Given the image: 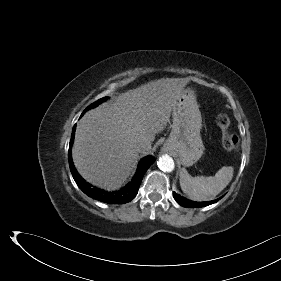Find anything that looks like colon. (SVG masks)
<instances>
[{
	"instance_id": "obj_1",
	"label": "colon",
	"mask_w": 281,
	"mask_h": 281,
	"mask_svg": "<svg viewBox=\"0 0 281 281\" xmlns=\"http://www.w3.org/2000/svg\"><path fill=\"white\" fill-rule=\"evenodd\" d=\"M217 125L222 129V147L225 150H236L239 146L238 137L231 131L230 120L227 115L219 114L216 117Z\"/></svg>"
}]
</instances>
